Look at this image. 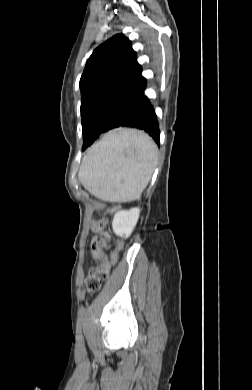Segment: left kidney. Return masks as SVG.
I'll return each mask as SVG.
<instances>
[{
  "label": "left kidney",
  "instance_id": "left-kidney-1",
  "mask_svg": "<svg viewBox=\"0 0 252 390\" xmlns=\"http://www.w3.org/2000/svg\"><path fill=\"white\" fill-rule=\"evenodd\" d=\"M139 208L118 211L113 218L112 228L117 236L128 238L139 219Z\"/></svg>",
  "mask_w": 252,
  "mask_h": 390
}]
</instances>
